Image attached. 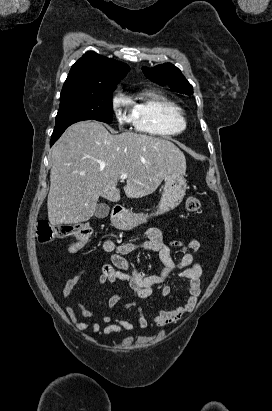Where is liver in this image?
<instances>
[{"label": "liver", "mask_w": 272, "mask_h": 411, "mask_svg": "<svg viewBox=\"0 0 272 411\" xmlns=\"http://www.w3.org/2000/svg\"><path fill=\"white\" fill-rule=\"evenodd\" d=\"M51 158L47 209L53 226L88 221L100 196L118 202L122 173L126 196L142 198L170 172H186L185 156L172 142L133 132L113 135L90 121L71 125L52 147Z\"/></svg>", "instance_id": "obj_1"}]
</instances>
